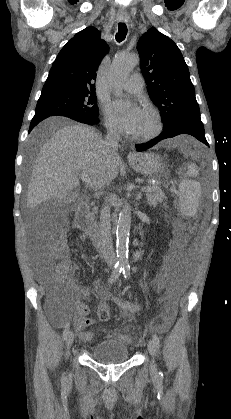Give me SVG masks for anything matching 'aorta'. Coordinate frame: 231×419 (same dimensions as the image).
<instances>
[{
    "mask_svg": "<svg viewBox=\"0 0 231 419\" xmlns=\"http://www.w3.org/2000/svg\"><path fill=\"white\" fill-rule=\"evenodd\" d=\"M139 63L137 55H117L112 61L110 79L114 84L125 80L133 68ZM131 227V210L124 208L118 218L116 230V254L117 264L120 267H129L128 243Z\"/></svg>",
    "mask_w": 231,
    "mask_h": 419,
    "instance_id": "aorta-1",
    "label": "aorta"
}]
</instances>
